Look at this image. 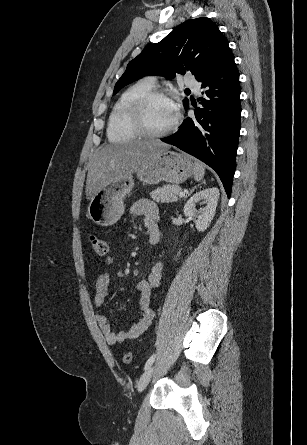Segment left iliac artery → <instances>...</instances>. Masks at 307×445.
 Returning <instances> with one entry per match:
<instances>
[{
	"instance_id": "44dca946",
	"label": "left iliac artery",
	"mask_w": 307,
	"mask_h": 445,
	"mask_svg": "<svg viewBox=\"0 0 307 445\" xmlns=\"http://www.w3.org/2000/svg\"><path fill=\"white\" fill-rule=\"evenodd\" d=\"M155 357H156L155 354L150 356V358L147 360V362L145 364V367H144L145 370L148 369L153 364Z\"/></svg>"
}]
</instances>
